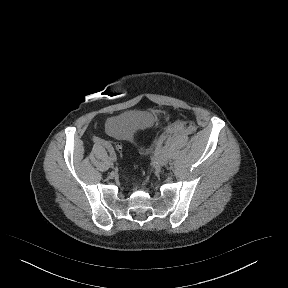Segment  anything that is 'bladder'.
I'll use <instances>...</instances> for the list:
<instances>
[{
	"label": "bladder",
	"mask_w": 288,
	"mask_h": 288,
	"mask_svg": "<svg viewBox=\"0 0 288 288\" xmlns=\"http://www.w3.org/2000/svg\"><path fill=\"white\" fill-rule=\"evenodd\" d=\"M156 121L150 111H131L107 121L106 131L118 137H131L138 131L151 128Z\"/></svg>",
	"instance_id": "1"
}]
</instances>
